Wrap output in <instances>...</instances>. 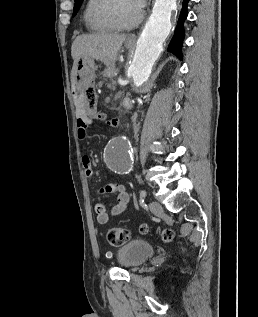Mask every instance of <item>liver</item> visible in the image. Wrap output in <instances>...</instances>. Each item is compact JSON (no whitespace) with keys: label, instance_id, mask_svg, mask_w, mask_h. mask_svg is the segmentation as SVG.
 I'll use <instances>...</instances> for the list:
<instances>
[{"label":"liver","instance_id":"6515ba94","mask_svg":"<svg viewBox=\"0 0 258 317\" xmlns=\"http://www.w3.org/2000/svg\"><path fill=\"white\" fill-rule=\"evenodd\" d=\"M126 38L127 34L104 32V30L92 32V34H79L71 46L73 66L80 56H92L104 62L108 68H115V58Z\"/></svg>","mask_w":258,"mask_h":317}]
</instances>
